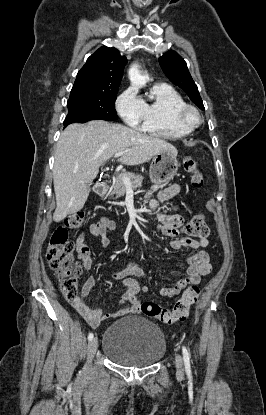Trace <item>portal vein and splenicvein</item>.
Listing matches in <instances>:
<instances>
[{"label": "portal vein and splenic vein", "mask_w": 266, "mask_h": 415, "mask_svg": "<svg viewBox=\"0 0 266 415\" xmlns=\"http://www.w3.org/2000/svg\"><path fill=\"white\" fill-rule=\"evenodd\" d=\"M126 151H118L117 153L114 154V158L116 157H120L123 154H125ZM122 177L123 183L127 188H131L132 184L129 178H127L124 174L120 175Z\"/></svg>", "instance_id": "18ae733b"}]
</instances>
